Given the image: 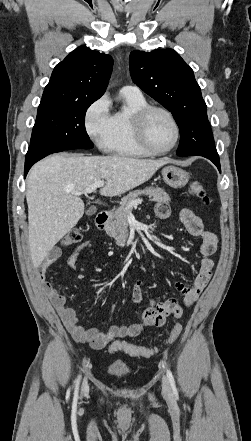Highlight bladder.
<instances>
[{"label": "bladder", "instance_id": "obj_1", "mask_svg": "<svg viewBox=\"0 0 251 441\" xmlns=\"http://www.w3.org/2000/svg\"><path fill=\"white\" fill-rule=\"evenodd\" d=\"M107 373L110 376L122 378L130 374V369L125 365L114 363L107 368Z\"/></svg>", "mask_w": 251, "mask_h": 441}]
</instances>
